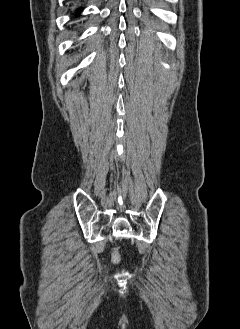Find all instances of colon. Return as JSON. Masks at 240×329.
I'll return each mask as SVG.
<instances>
[{
	"instance_id": "1",
	"label": "colon",
	"mask_w": 240,
	"mask_h": 329,
	"mask_svg": "<svg viewBox=\"0 0 240 329\" xmlns=\"http://www.w3.org/2000/svg\"><path fill=\"white\" fill-rule=\"evenodd\" d=\"M112 261L114 263H118L120 261V253H119V249L118 248H115L114 249V252H113V255H112Z\"/></svg>"
}]
</instances>
